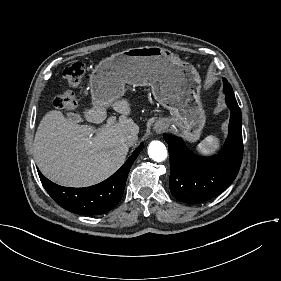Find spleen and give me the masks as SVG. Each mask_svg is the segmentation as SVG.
<instances>
[{
  "instance_id": "obj_1",
  "label": "spleen",
  "mask_w": 281,
  "mask_h": 281,
  "mask_svg": "<svg viewBox=\"0 0 281 281\" xmlns=\"http://www.w3.org/2000/svg\"><path fill=\"white\" fill-rule=\"evenodd\" d=\"M220 147V141L216 136L209 135L197 145V151L203 155L213 154Z\"/></svg>"
}]
</instances>
